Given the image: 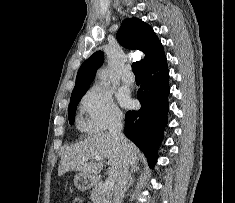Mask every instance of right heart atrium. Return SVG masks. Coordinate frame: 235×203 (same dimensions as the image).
<instances>
[{"instance_id": "obj_1", "label": "right heart atrium", "mask_w": 235, "mask_h": 203, "mask_svg": "<svg viewBox=\"0 0 235 203\" xmlns=\"http://www.w3.org/2000/svg\"><path fill=\"white\" fill-rule=\"evenodd\" d=\"M80 108L84 115V127L91 132L106 130L123 117L110 90L99 84L87 90L81 100Z\"/></svg>"}]
</instances>
